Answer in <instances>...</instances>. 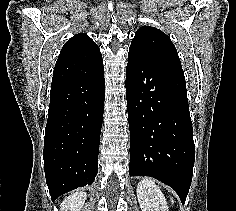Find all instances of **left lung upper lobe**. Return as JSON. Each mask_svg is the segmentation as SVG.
I'll list each match as a JSON object with an SVG mask.
<instances>
[{
    "instance_id": "left-lung-upper-lobe-1",
    "label": "left lung upper lobe",
    "mask_w": 236,
    "mask_h": 211,
    "mask_svg": "<svg viewBox=\"0 0 236 211\" xmlns=\"http://www.w3.org/2000/svg\"><path fill=\"white\" fill-rule=\"evenodd\" d=\"M129 54L183 73L175 46L170 38L157 28L140 27L131 42Z\"/></svg>"
}]
</instances>
